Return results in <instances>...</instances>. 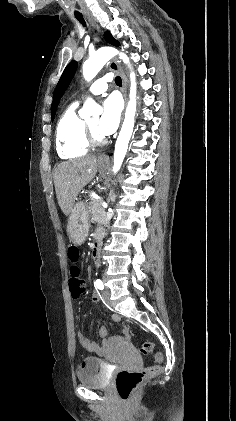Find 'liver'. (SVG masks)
<instances>
[{
    "label": "liver",
    "mask_w": 236,
    "mask_h": 421,
    "mask_svg": "<svg viewBox=\"0 0 236 421\" xmlns=\"http://www.w3.org/2000/svg\"><path fill=\"white\" fill-rule=\"evenodd\" d=\"M97 166L96 156H80L63 160L54 168L55 192L64 215H70L78 192L94 178Z\"/></svg>",
    "instance_id": "obj_1"
}]
</instances>
